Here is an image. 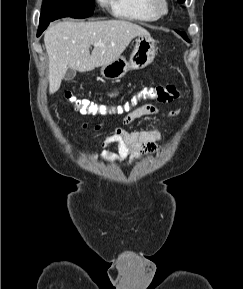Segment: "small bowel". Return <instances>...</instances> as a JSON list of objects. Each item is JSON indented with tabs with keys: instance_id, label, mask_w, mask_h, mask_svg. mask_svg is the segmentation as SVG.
<instances>
[{
	"instance_id": "obj_1",
	"label": "small bowel",
	"mask_w": 243,
	"mask_h": 289,
	"mask_svg": "<svg viewBox=\"0 0 243 289\" xmlns=\"http://www.w3.org/2000/svg\"><path fill=\"white\" fill-rule=\"evenodd\" d=\"M121 91V88H117L108 91L106 95L108 97H115ZM159 112V108L154 104H145L134 110L130 111L122 120L124 125H129L134 120L146 116L154 115ZM179 113V110L171 111L168 116L172 117ZM83 128L87 127V124H82ZM103 127L102 123L96 124L94 130H100ZM162 133L159 128L151 130L140 131H128L122 127L115 128L112 136L108 142L117 146V152L111 154L109 158L113 162H119L126 158L140 159L144 154L156 153L162 149L161 146Z\"/></svg>"
}]
</instances>
